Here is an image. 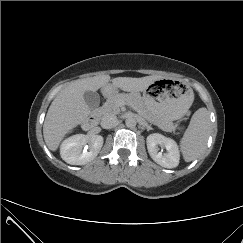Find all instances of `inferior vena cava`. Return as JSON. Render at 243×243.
<instances>
[{
  "label": "inferior vena cava",
  "mask_w": 243,
  "mask_h": 243,
  "mask_svg": "<svg viewBox=\"0 0 243 243\" xmlns=\"http://www.w3.org/2000/svg\"><path fill=\"white\" fill-rule=\"evenodd\" d=\"M118 119L114 114H107L101 120V127L104 129H111L117 125Z\"/></svg>",
  "instance_id": "1"
}]
</instances>
